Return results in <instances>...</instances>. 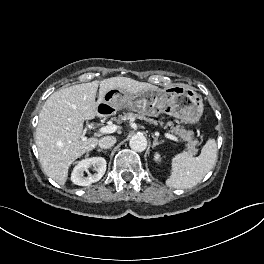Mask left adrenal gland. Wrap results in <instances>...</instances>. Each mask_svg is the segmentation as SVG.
<instances>
[{
	"instance_id": "obj_1",
	"label": "left adrenal gland",
	"mask_w": 264,
	"mask_h": 264,
	"mask_svg": "<svg viewBox=\"0 0 264 264\" xmlns=\"http://www.w3.org/2000/svg\"><path fill=\"white\" fill-rule=\"evenodd\" d=\"M152 137H153V139H154V141H153V145H152V147L154 148L155 146H157V145H160V144H162L163 142L162 141H158V138H156L154 135H152Z\"/></svg>"
}]
</instances>
